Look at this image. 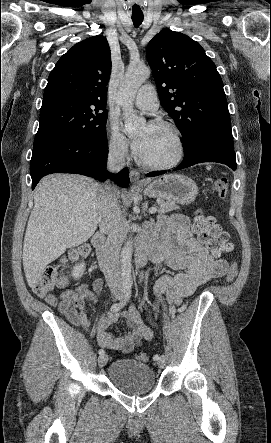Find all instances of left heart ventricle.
Wrapping results in <instances>:
<instances>
[{"label": "left heart ventricle", "instance_id": "left-heart-ventricle-1", "mask_svg": "<svg viewBox=\"0 0 271 443\" xmlns=\"http://www.w3.org/2000/svg\"><path fill=\"white\" fill-rule=\"evenodd\" d=\"M176 153L174 133L166 127L149 125L147 144L140 155L148 161L163 163L173 159Z\"/></svg>", "mask_w": 271, "mask_h": 443}]
</instances>
